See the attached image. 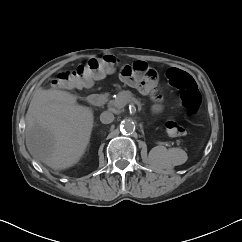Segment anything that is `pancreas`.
<instances>
[{
    "instance_id": "obj_1",
    "label": "pancreas",
    "mask_w": 242,
    "mask_h": 242,
    "mask_svg": "<svg viewBox=\"0 0 242 242\" xmlns=\"http://www.w3.org/2000/svg\"><path fill=\"white\" fill-rule=\"evenodd\" d=\"M132 101L137 100L133 97V94L130 91H121L115 99L108 102V106L110 109L120 112L127 103Z\"/></svg>"
}]
</instances>
